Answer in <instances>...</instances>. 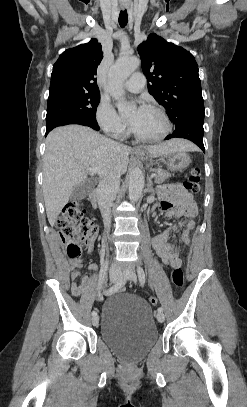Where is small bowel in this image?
I'll return each mask as SVG.
<instances>
[{
	"mask_svg": "<svg viewBox=\"0 0 247 407\" xmlns=\"http://www.w3.org/2000/svg\"><path fill=\"white\" fill-rule=\"evenodd\" d=\"M159 198L161 199L158 209L165 213L168 218L186 217V221L181 226V234L179 237V246L174 247L169 239L171 235L178 230V227L167 230L164 233L156 235L152 239V246L156 250L163 264L178 267L181 266L180 254L182 249L190 242V233L195 226L197 216V208L193 198L185 192L178 184L164 185L159 189ZM88 253L91 254L94 250V244L90 241L87 245ZM83 267V261L80 259H72L69 261L71 270L70 279L75 280ZM89 270L98 272L99 266L90 264ZM93 282V278L84 276L81 284L72 283L71 292L74 296L82 295Z\"/></svg>",
	"mask_w": 247,
	"mask_h": 407,
	"instance_id": "c3829d8e",
	"label": "small bowel"
}]
</instances>
